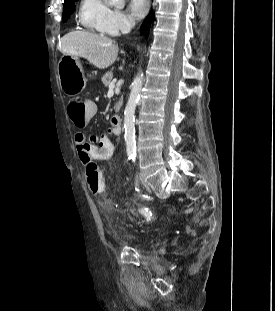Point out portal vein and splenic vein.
<instances>
[{
  "label": "portal vein and splenic vein",
  "mask_w": 275,
  "mask_h": 311,
  "mask_svg": "<svg viewBox=\"0 0 275 311\" xmlns=\"http://www.w3.org/2000/svg\"><path fill=\"white\" fill-rule=\"evenodd\" d=\"M115 82L116 79H114L110 84H109V89H113L115 87Z\"/></svg>",
  "instance_id": "obj_1"
}]
</instances>
